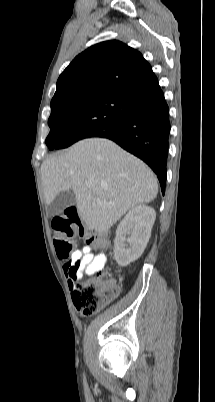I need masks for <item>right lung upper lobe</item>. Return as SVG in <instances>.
Returning a JSON list of instances; mask_svg holds the SVG:
<instances>
[{
    "label": "right lung upper lobe",
    "instance_id": "right-lung-upper-lobe-1",
    "mask_svg": "<svg viewBox=\"0 0 215 402\" xmlns=\"http://www.w3.org/2000/svg\"><path fill=\"white\" fill-rule=\"evenodd\" d=\"M161 91L139 51L120 41H106L75 57L58 78L52 100L105 93L137 102Z\"/></svg>",
    "mask_w": 215,
    "mask_h": 402
}]
</instances>
